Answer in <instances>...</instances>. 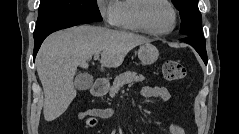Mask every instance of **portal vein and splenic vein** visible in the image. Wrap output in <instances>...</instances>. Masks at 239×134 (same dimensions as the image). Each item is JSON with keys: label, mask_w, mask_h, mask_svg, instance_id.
I'll return each mask as SVG.
<instances>
[{"label": "portal vein and splenic vein", "mask_w": 239, "mask_h": 134, "mask_svg": "<svg viewBox=\"0 0 239 134\" xmlns=\"http://www.w3.org/2000/svg\"><path fill=\"white\" fill-rule=\"evenodd\" d=\"M99 59V53H96L95 55H94V60H98Z\"/></svg>", "instance_id": "1"}]
</instances>
